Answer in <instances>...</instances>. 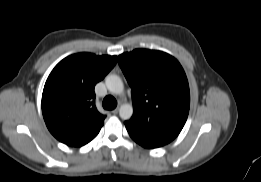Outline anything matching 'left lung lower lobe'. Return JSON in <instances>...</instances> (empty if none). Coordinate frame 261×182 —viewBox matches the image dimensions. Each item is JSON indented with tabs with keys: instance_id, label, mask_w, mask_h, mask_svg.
Listing matches in <instances>:
<instances>
[{
	"instance_id": "0a47b994",
	"label": "left lung lower lobe",
	"mask_w": 261,
	"mask_h": 182,
	"mask_svg": "<svg viewBox=\"0 0 261 182\" xmlns=\"http://www.w3.org/2000/svg\"><path fill=\"white\" fill-rule=\"evenodd\" d=\"M130 136L135 142H137L138 144H140L141 146H143L145 148H157V147H161V146L165 145L164 143L156 141V140L141 138V137H138V136H135L132 134H130Z\"/></svg>"
}]
</instances>
